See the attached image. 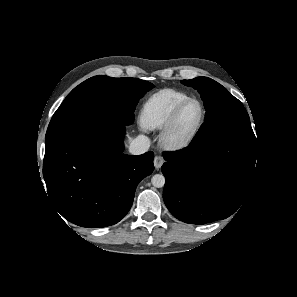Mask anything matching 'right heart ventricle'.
I'll use <instances>...</instances> for the list:
<instances>
[{
  "label": "right heart ventricle",
  "mask_w": 297,
  "mask_h": 297,
  "mask_svg": "<svg viewBox=\"0 0 297 297\" xmlns=\"http://www.w3.org/2000/svg\"><path fill=\"white\" fill-rule=\"evenodd\" d=\"M189 96L174 89H163L151 95L143 104L140 121L145 128L165 126L175 108Z\"/></svg>",
  "instance_id": "right-heart-ventricle-1"
}]
</instances>
